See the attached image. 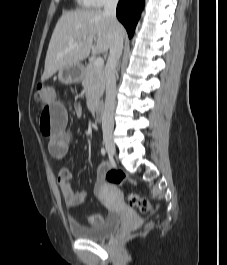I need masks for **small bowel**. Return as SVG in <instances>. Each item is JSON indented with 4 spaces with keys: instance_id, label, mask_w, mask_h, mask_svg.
I'll use <instances>...</instances> for the list:
<instances>
[{
    "instance_id": "small-bowel-1",
    "label": "small bowel",
    "mask_w": 227,
    "mask_h": 265,
    "mask_svg": "<svg viewBox=\"0 0 227 265\" xmlns=\"http://www.w3.org/2000/svg\"><path fill=\"white\" fill-rule=\"evenodd\" d=\"M77 114H82V107L79 104L75 105ZM68 114L64 105L53 99L50 102H45L44 109L40 112V130L44 136L48 138V151L50 155L56 159H61L66 156L71 142V134L67 130ZM108 167L106 164H101L96 170V179L94 192L99 195L103 185L104 177ZM71 171L63 167L57 174V184L67 207H76L85 202L87 193L85 191H74L71 186ZM103 217L99 214H93L88 217V222L92 226L101 224Z\"/></svg>"
}]
</instances>
